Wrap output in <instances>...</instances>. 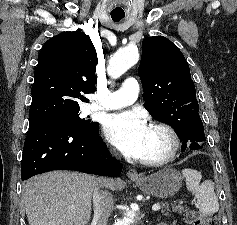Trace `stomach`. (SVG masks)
<instances>
[{"instance_id": "0dacf381", "label": "stomach", "mask_w": 237, "mask_h": 225, "mask_svg": "<svg viewBox=\"0 0 237 225\" xmlns=\"http://www.w3.org/2000/svg\"><path fill=\"white\" fill-rule=\"evenodd\" d=\"M133 181L145 194L166 199L179 191L183 176L173 168H164L151 175L133 179Z\"/></svg>"}]
</instances>
